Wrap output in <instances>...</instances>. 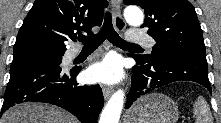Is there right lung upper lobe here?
Segmentation results:
<instances>
[{"mask_svg": "<svg viewBox=\"0 0 221 123\" xmlns=\"http://www.w3.org/2000/svg\"><path fill=\"white\" fill-rule=\"evenodd\" d=\"M106 0H36L23 21L13 54L64 53V42L100 26Z\"/></svg>", "mask_w": 221, "mask_h": 123, "instance_id": "1", "label": "right lung upper lobe"}]
</instances>
